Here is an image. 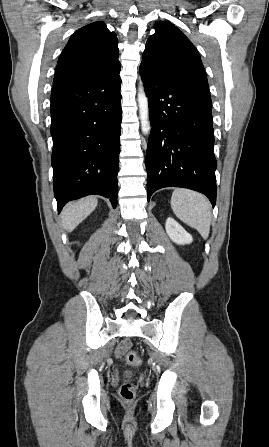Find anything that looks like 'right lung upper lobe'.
<instances>
[{
  "label": "right lung upper lobe",
  "instance_id": "obj_1",
  "mask_svg": "<svg viewBox=\"0 0 269 447\" xmlns=\"http://www.w3.org/2000/svg\"><path fill=\"white\" fill-rule=\"evenodd\" d=\"M118 40L103 22L77 30L62 51L53 86L99 81L120 71Z\"/></svg>",
  "mask_w": 269,
  "mask_h": 447
}]
</instances>
